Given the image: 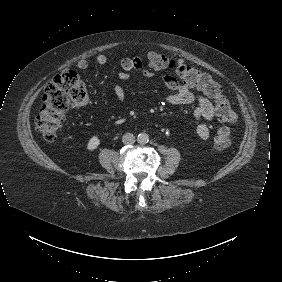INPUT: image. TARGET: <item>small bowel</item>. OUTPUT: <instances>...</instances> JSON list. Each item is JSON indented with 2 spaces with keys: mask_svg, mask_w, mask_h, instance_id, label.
<instances>
[{
  "mask_svg": "<svg viewBox=\"0 0 282 282\" xmlns=\"http://www.w3.org/2000/svg\"><path fill=\"white\" fill-rule=\"evenodd\" d=\"M108 59L104 54H98L95 57L97 65H105ZM79 69H86L89 66V61L85 58L78 60L76 64ZM122 70L117 75L119 83L114 85V93L116 99L119 102L125 100V91L121 83L127 82L131 75V72H135L137 77L153 79L156 78V74L151 72L142 66V62L138 57H124L120 61ZM163 84L170 90V93L164 96V102L169 105H191L195 104L193 111L194 119L197 121L206 120L210 121L217 116L215 104H213L206 96L201 93H196L190 90L187 85L181 84L175 77L165 74L161 76ZM199 90H202L198 87ZM216 101V99H215ZM196 133L201 140H208L210 136V130L207 124L200 122L196 126Z\"/></svg>",
  "mask_w": 282,
  "mask_h": 282,
  "instance_id": "small-bowel-1",
  "label": "small bowel"
}]
</instances>
